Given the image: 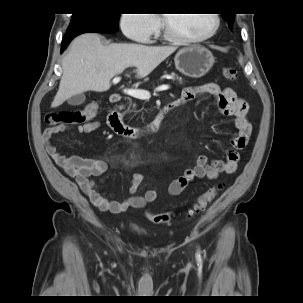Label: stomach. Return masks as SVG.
Segmentation results:
<instances>
[{
	"instance_id": "0dacf381",
	"label": "stomach",
	"mask_w": 303,
	"mask_h": 303,
	"mask_svg": "<svg viewBox=\"0 0 303 303\" xmlns=\"http://www.w3.org/2000/svg\"><path fill=\"white\" fill-rule=\"evenodd\" d=\"M174 61L176 69L182 74L191 78H200L209 72L215 58L205 47L192 46L180 49Z\"/></svg>"
}]
</instances>
